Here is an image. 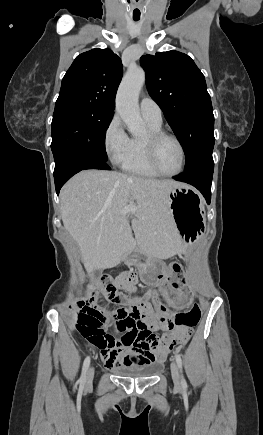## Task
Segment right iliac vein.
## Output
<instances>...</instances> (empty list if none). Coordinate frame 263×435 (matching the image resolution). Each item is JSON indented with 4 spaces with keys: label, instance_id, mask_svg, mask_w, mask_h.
Returning a JSON list of instances; mask_svg holds the SVG:
<instances>
[{
    "label": "right iliac vein",
    "instance_id": "1",
    "mask_svg": "<svg viewBox=\"0 0 263 435\" xmlns=\"http://www.w3.org/2000/svg\"><path fill=\"white\" fill-rule=\"evenodd\" d=\"M94 367L93 366H91L90 368H89V370H88V373H87V378H86V383L87 384H90L91 382H92V380H93V377H94Z\"/></svg>",
    "mask_w": 263,
    "mask_h": 435
}]
</instances>
